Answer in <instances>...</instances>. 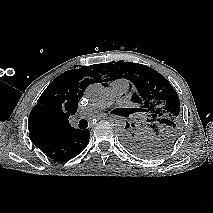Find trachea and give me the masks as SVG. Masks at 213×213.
<instances>
[{
	"label": "trachea",
	"instance_id": "obj_1",
	"mask_svg": "<svg viewBox=\"0 0 213 213\" xmlns=\"http://www.w3.org/2000/svg\"><path fill=\"white\" fill-rule=\"evenodd\" d=\"M87 127H88V122H87V120H85V119L80 120V122H79V128L85 129V128H87Z\"/></svg>",
	"mask_w": 213,
	"mask_h": 213
}]
</instances>
